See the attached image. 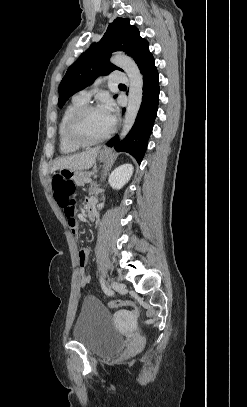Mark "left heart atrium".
Returning <instances> with one entry per match:
<instances>
[{
    "label": "left heart atrium",
    "mask_w": 247,
    "mask_h": 407,
    "mask_svg": "<svg viewBox=\"0 0 247 407\" xmlns=\"http://www.w3.org/2000/svg\"><path fill=\"white\" fill-rule=\"evenodd\" d=\"M100 109L108 122L113 125L116 120V107L112 100H110L109 98L105 99Z\"/></svg>",
    "instance_id": "39dd6f15"
}]
</instances>
